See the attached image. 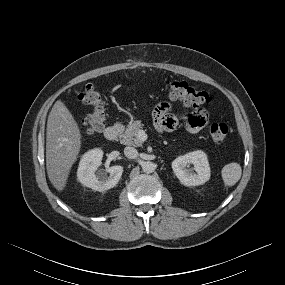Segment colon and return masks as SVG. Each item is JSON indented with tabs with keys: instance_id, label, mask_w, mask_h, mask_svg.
<instances>
[{
	"instance_id": "5ec220e1",
	"label": "colon",
	"mask_w": 285,
	"mask_h": 285,
	"mask_svg": "<svg viewBox=\"0 0 285 285\" xmlns=\"http://www.w3.org/2000/svg\"><path fill=\"white\" fill-rule=\"evenodd\" d=\"M166 89L172 100H178L185 105L199 107L211 102L210 95L190 86L182 81H168ZM78 100L92 108L91 113L86 115L81 126L87 133H96L103 130L107 119L104 101L99 91L91 84L87 85L78 95ZM230 127L228 124L218 122L210 127V136L214 143H222L229 135Z\"/></svg>"
}]
</instances>
